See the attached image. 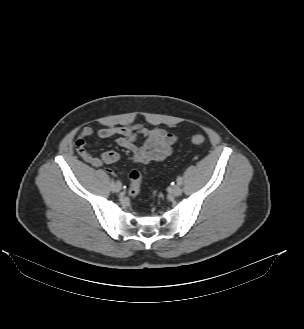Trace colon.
Wrapping results in <instances>:
<instances>
[{"mask_svg":"<svg viewBox=\"0 0 304 329\" xmlns=\"http://www.w3.org/2000/svg\"><path fill=\"white\" fill-rule=\"evenodd\" d=\"M206 142V137L202 133H197L193 135L190 139V143L195 146L203 145ZM143 176L142 169H134L130 173V186L129 193L132 196L138 195L140 191V182Z\"/></svg>","mask_w":304,"mask_h":329,"instance_id":"obj_1","label":"colon"}]
</instances>
